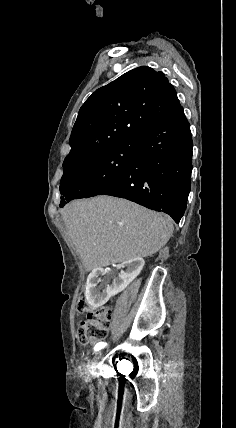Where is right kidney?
Segmentation results:
<instances>
[{
	"label": "right kidney",
	"mask_w": 236,
	"mask_h": 428,
	"mask_svg": "<svg viewBox=\"0 0 236 428\" xmlns=\"http://www.w3.org/2000/svg\"><path fill=\"white\" fill-rule=\"evenodd\" d=\"M145 262L143 258L140 256H135V258H131V260H126V262H122V266L120 268H125V270H121L117 282L114 283H97V278L105 277V270L96 268L91 269L89 272V276L87 278V286H86V300L88 304L91 306H103L106 304L108 297L115 296L118 292H122L127 288L130 282H133L137 276H139L141 270H143ZM95 289L96 292H93ZM91 292L92 298H91ZM106 292H110L107 294Z\"/></svg>",
	"instance_id": "right-kidney-1"
}]
</instances>
